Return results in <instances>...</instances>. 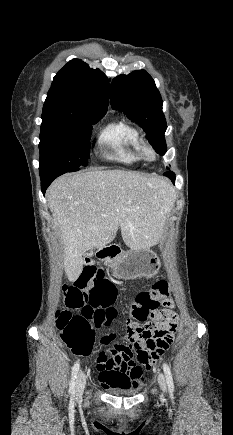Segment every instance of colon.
I'll return each instance as SVG.
<instances>
[{"mask_svg":"<svg viewBox=\"0 0 233 435\" xmlns=\"http://www.w3.org/2000/svg\"><path fill=\"white\" fill-rule=\"evenodd\" d=\"M109 280L102 269L89 266L83 269L72 285L63 286L65 304L70 309L79 310L76 314L64 311L59 316L60 337L73 354H90L95 347L96 329L109 326L116 318L117 312L113 307L115 296L95 294L85 298L82 293L93 282L107 283ZM170 290L168 281L154 282L149 289L137 294L129 307L130 315L143 322L155 317ZM125 325L127 342L101 340L104 349L98 352L96 362L105 360L108 354L117 353L123 357L127 366L138 362L150 369L171 344L175 327L164 325L157 329L147 323L139 325L131 317L126 319ZM117 379L124 382L123 376H118ZM122 388L127 389L128 386L123 385Z\"/></svg>","mask_w":233,"mask_h":435,"instance_id":"5ec220e1","label":"colon"}]
</instances>
